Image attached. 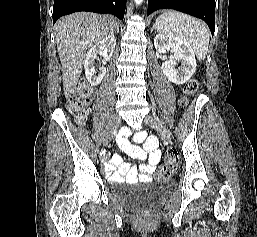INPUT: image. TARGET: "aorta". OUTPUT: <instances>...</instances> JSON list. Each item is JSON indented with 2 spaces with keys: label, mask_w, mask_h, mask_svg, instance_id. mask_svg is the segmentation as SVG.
Here are the masks:
<instances>
[{
  "label": "aorta",
  "mask_w": 257,
  "mask_h": 237,
  "mask_svg": "<svg viewBox=\"0 0 257 237\" xmlns=\"http://www.w3.org/2000/svg\"><path fill=\"white\" fill-rule=\"evenodd\" d=\"M134 2H135L136 5H141L143 0H134Z\"/></svg>",
  "instance_id": "1"
}]
</instances>
